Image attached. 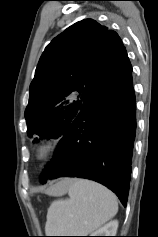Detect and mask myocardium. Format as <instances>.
Instances as JSON below:
<instances>
[{"label": "myocardium", "mask_w": 158, "mask_h": 237, "mask_svg": "<svg viewBox=\"0 0 158 237\" xmlns=\"http://www.w3.org/2000/svg\"><path fill=\"white\" fill-rule=\"evenodd\" d=\"M55 144L51 140H44L40 142L35 148V158L39 161L46 160L55 151Z\"/></svg>", "instance_id": "obj_1"}]
</instances>
